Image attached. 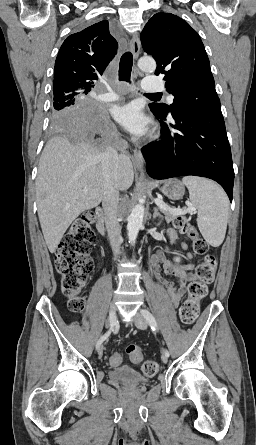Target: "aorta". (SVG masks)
<instances>
[{
  "instance_id": "aorta-1",
  "label": "aorta",
  "mask_w": 256,
  "mask_h": 445,
  "mask_svg": "<svg viewBox=\"0 0 256 445\" xmlns=\"http://www.w3.org/2000/svg\"><path fill=\"white\" fill-rule=\"evenodd\" d=\"M138 67L144 71L152 73L156 69V62L151 57H142L138 60ZM144 201L136 204L128 218L127 231L130 243H134L144 218Z\"/></svg>"
}]
</instances>
